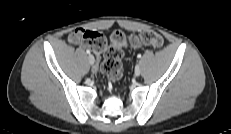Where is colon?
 I'll return each mask as SVG.
<instances>
[{
    "label": "colon",
    "mask_w": 231,
    "mask_h": 134,
    "mask_svg": "<svg viewBox=\"0 0 231 134\" xmlns=\"http://www.w3.org/2000/svg\"><path fill=\"white\" fill-rule=\"evenodd\" d=\"M75 39L89 47L94 53L98 55L103 53L101 69L114 82L121 78L123 48L127 44L133 48L142 46L160 48L163 45L162 36L155 31H144L128 38L123 32L115 31L111 36L110 45H107L105 37L97 31L76 30Z\"/></svg>",
    "instance_id": "colon-1"
}]
</instances>
